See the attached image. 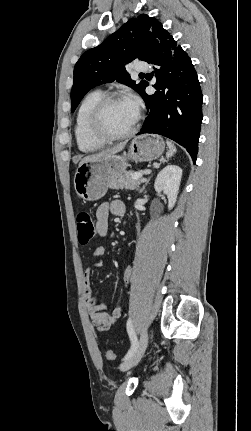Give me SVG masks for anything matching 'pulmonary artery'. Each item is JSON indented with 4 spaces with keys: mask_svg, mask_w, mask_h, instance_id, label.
Masks as SVG:
<instances>
[{
    "mask_svg": "<svg viewBox=\"0 0 251 431\" xmlns=\"http://www.w3.org/2000/svg\"><path fill=\"white\" fill-rule=\"evenodd\" d=\"M150 69V65L146 62H137L134 65V70L137 72H146Z\"/></svg>",
    "mask_w": 251,
    "mask_h": 431,
    "instance_id": "obj_1",
    "label": "pulmonary artery"
}]
</instances>
